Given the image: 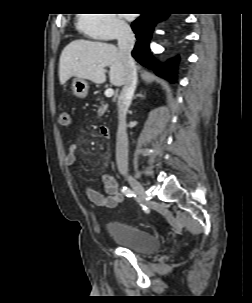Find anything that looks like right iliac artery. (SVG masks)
Segmentation results:
<instances>
[{
  "instance_id": "right-iliac-artery-1",
  "label": "right iliac artery",
  "mask_w": 252,
  "mask_h": 303,
  "mask_svg": "<svg viewBox=\"0 0 252 303\" xmlns=\"http://www.w3.org/2000/svg\"><path fill=\"white\" fill-rule=\"evenodd\" d=\"M121 190H122L123 194H124L125 196H127V197L135 196L134 193H133V191H132L131 189L125 187V186L122 187Z\"/></svg>"
}]
</instances>
